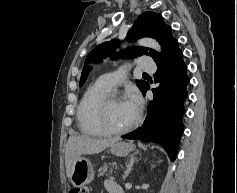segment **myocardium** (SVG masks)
Returning a JSON list of instances; mask_svg holds the SVG:
<instances>
[{
  "label": "myocardium",
  "mask_w": 237,
  "mask_h": 193,
  "mask_svg": "<svg viewBox=\"0 0 237 193\" xmlns=\"http://www.w3.org/2000/svg\"><path fill=\"white\" fill-rule=\"evenodd\" d=\"M121 100L122 98L118 94L109 93L100 100V102L98 103L96 107V112H95L96 123L105 134L114 135V136L123 135L129 132L130 130H132L139 120V117L137 116L131 124H129L128 126L122 129H114L107 124L106 115H107V110H108L109 105Z\"/></svg>",
  "instance_id": "f54148a6"
}]
</instances>
